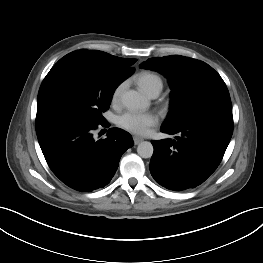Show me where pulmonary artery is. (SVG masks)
<instances>
[{"instance_id": "obj_1", "label": "pulmonary artery", "mask_w": 263, "mask_h": 263, "mask_svg": "<svg viewBox=\"0 0 263 263\" xmlns=\"http://www.w3.org/2000/svg\"><path fill=\"white\" fill-rule=\"evenodd\" d=\"M161 87L156 86L153 87L147 94L151 97V98H156L159 96L160 92H161Z\"/></svg>"}]
</instances>
